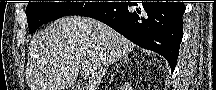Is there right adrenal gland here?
Masks as SVG:
<instances>
[{
  "instance_id": "right-adrenal-gland-1",
  "label": "right adrenal gland",
  "mask_w": 216,
  "mask_h": 90,
  "mask_svg": "<svg viewBox=\"0 0 216 90\" xmlns=\"http://www.w3.org/2000/svg\"><path fill=\"white\" fill-rule=\"evenodd\" d=\"M128 60H129L128 56H124V58H123L124 64H127ZM121 64H122V62H120V64H116V72H117L119 66H121ZM112 80H113V76H112L110 82H112Z\"/></svg>"
}]
</instances>
